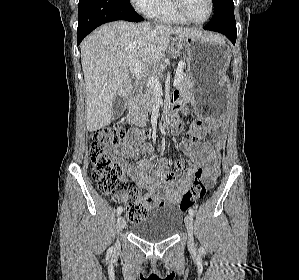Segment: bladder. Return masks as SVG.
<instances>
[{
	"instance_id": "1",
	"label": "bladder",
	"mask_w": 299,
	"mask_h": 280,
	"mask_svg": "<svg viewBox=\"0 0 299 280\" xmlns=\"http://www.w3.org/2000/svg\"><path fill=\"white\" fill-rule=\"evenodd\" d=\"M182 222L183 215L177 209H153L142 220L132 224L131 232L141 240L159 242L174 237Z\"/></svg>"
}]
</instances>
